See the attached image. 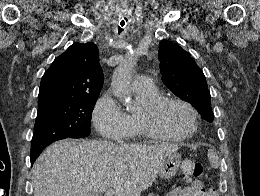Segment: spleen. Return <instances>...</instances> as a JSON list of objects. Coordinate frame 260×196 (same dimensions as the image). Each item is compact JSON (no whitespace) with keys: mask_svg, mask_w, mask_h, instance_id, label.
Masks as SVG:
<instances>
[{"mask_svg":"<svg viewBox=\"0 0 260 196\" xmlns=\"http://www.w3.org/2000/svg\"><path fill=\"white\" fill-rule=\"evenodd\" d=\"M207 156H208V160L210 162L211 168H219L220 162H219V158H218L216 152H214V150H208Z\"/></svg>","mask_w":260,"mask_h":196,"instance_id":"obj_1","label":"spleen"}]
</instances>
